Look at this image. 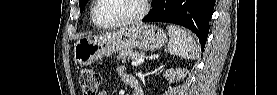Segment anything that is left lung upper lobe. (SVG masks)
Listing matches in <instances>:
<instances>
[{
    "label": "left lung upper lobe",
    "instance_id": "1",
    "mask_svg": "<svg viewBox=\"0 0 277 95\" xmlns=\"http://www.w3.org/2000/svg\"><path fill=\"white\" fill-rule=\"evenodd\" d=\"M87 2H88V0H79L80 12L83 11Z\"/></svg>",
    "mask_w": 277,
    "mask_h": 95
}]
</instances>
